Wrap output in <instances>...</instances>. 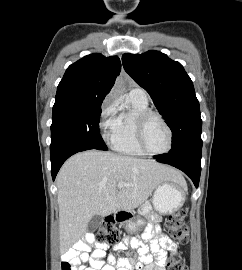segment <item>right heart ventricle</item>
<instances>
[{
    "mask_svg": "<svg viewBox=\"0 0 242 270\" xmlns=\"http://www.w3.org/2000/svg\"><path fill=\"white\" fill-rule=\"evenodd\" d=\"M149 110L147 101L128 95L126 104L117 116L116 126L111 133L114 150L126 155H145L136 140V121L140 114Z\"/></svg>",
    "mask_w": 242,
    "mask_h": 270,
    "instance_id": "1",
    "label": "right heart ventricle"
}]
</instances>
